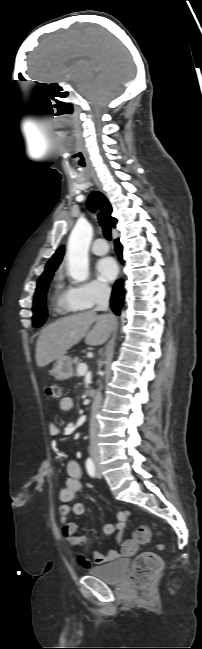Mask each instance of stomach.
Here are the masks:
<instances>
[{
  "instance_id": "0dacf381",
  "label": "stomach",
  "mask_w": 202,
  "mask_h": 649,
  "mask_svg": "<svg viewBox=\"0 0 202 649\" xmlns=\"http://www.w3.org/2000/svg\"><path fill=\"white\" fill-rule=\"evenodd\" d=\"M74 360L70 356H62L57 359L51 370V374L56 380H68L74 375Z\"/></svg>"
}]
</instances>
